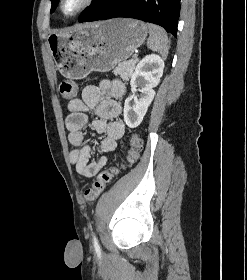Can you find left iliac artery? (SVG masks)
I'll return each instance as SVG.
<instances>
[{"instance_id": "obj_1", "label": "left iliac artery", "mask_w": 247, "mask_h": 280, "mask_svg": "<svg viewBox=\"0 0 247 280\" xmlns=\"http://www.w3.org/2000/svg\"><path fill=\"white\" fill-rule=\"evenodd\" d=\"M92 240H93V245H94L95 250H96L97 252H99V251H100V245H99V243H98V240H97V237H96L95 234L93 235Z\"/></svg>"}]
</instances>
